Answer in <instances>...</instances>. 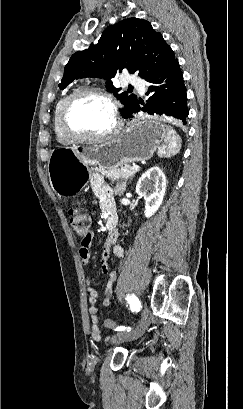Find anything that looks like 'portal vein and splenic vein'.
I'll use <instances>...</instances> for the list:
<instances>
[{
	"label": "portal vein and splenic vein",
	"mask_w": 243,
	"mask_h": 409,
	"mask_svg": "<svg viewBox=\"0 0 243 409\" xmlns=\"http://www.w3.org/2000/svg\"><path fill=\"white\" fill-rule=\"evenodd\" d=\"M132 169H134V170H137V171H138V170L140 169V167H139L138 165H133V166H132Z\"/></svg>",
	"instance_id": "1"
}]
</instances>
